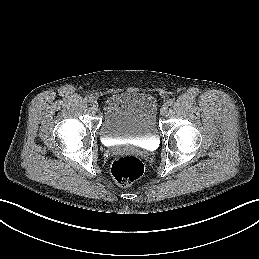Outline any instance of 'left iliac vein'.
<instances>
[{
  "label": "left iliac vein",
  "instance_id": "4c4485c4",
  "mask_svg": "<svg viewBox=\"0 0 259 259\" xmlns=\"http://www.w3.org/2000/svg\"><path fill=\"white\" fill-rule=\"evenodd\" d=\"M168 112V107L166 105L162 106L161 110H160V113L162 115H166Z\"/></svg>",
  "mask_w": 259,
  "mask_h": 259
}]
</instances>
